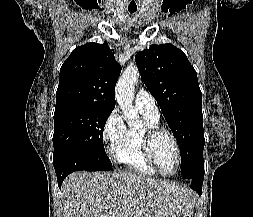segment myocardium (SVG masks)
I'll return each instance as SVG.
<instances>
[{
	"instance_id": "1",
	"label": "myocardium",
	"mask_w": 253,
	"mask_h": 217,
	"mask_svg": "<svg viewBox=\"0 0 253 217\" xmlns=\"http://www.w3.org/2000/svg\"><path fill=\"white\" fill-rule=\"evenodd\" d=\"M162 134L167 135L171 139L175 148L177 163H176V168L172 173L163 172L154 157V153H153L154 141L158 136ZM142 149H143V153L146 160L158 174L165 177H170V176L175 175L179 171L180 166H181V150H180L179 142L171 130L161 127V126L146 127L144 129L143 137H142Z\"/></svg>"
}]
</instances>
